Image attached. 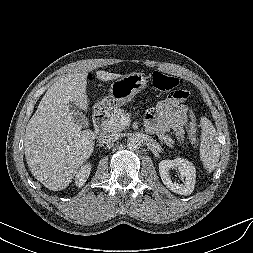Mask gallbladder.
Instances as JSON below:
<instances>
[{"label":"gallbladder","instance_id":"bac80fb5","mask_svg":"<svg viewBox=\"0 0 253 253\" xmlns=\"http://www.w3.org/2000/svg\"><path fill=\"white\" fill-rule=\"evenodd\" d=\"M70 107L73 113V120L79 123L82 127H88V118L81 112L80 108L75 104H71Z\"/></svg>","mask_w":253,"mask_h":253}]
</instances>
